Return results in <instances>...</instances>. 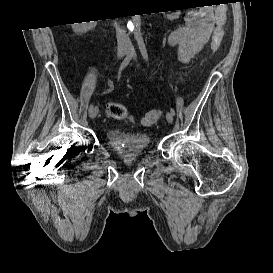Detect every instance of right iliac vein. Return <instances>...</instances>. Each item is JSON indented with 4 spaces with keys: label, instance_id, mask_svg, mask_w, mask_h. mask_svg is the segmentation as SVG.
Listing matches in <instances>:
<instances>
[{
    "label": "right iliac vein",
    "instance_id": "1",
    "mask_svg": "<svg viewBox=\"0 0 273 273\" xmlns=\"http://www.w3.org/2000/svg\"><path fill=\"white\" fill-rule=\"evenodd\" d=\"M127 53V50H119L118 52V59H122ZM98 107H93L92 110L89 111V118L94 119L98 114Z\"/></svg>",
    "mask_w": 273,
    "mask_h": 273
}]
</instances>
